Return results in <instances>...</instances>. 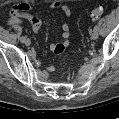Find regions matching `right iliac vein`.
I'll return each instance as SVG.
<instances>
[{"instance_id": "right-iliac-vein-1", "label": "right iliac vein", "mask_w": 119, "mask_h": 119, "mask_svg": "<svg viewBox=\"0 0 119 119\" xmlns=\"http://www.w3.org/2000/svg\"><path fill=\"white\" fill-rule=\"evenodd\" d=\"M23 43L27 46H29L31 44L30 40L25 38V40L23 41Z\"/></svg>"}]
</instances>
